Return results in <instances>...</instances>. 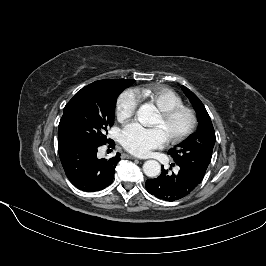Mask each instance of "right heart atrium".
<instances>
[{
  "instance_id": "1",
  "label": "right heart atrium",
  "mask_w": 266,
  "mask_h": 266,
  "mask_svg": "<svg viewBox=\"0 0 266 266\" xmlns=\"http://www.w3.org/2000/svg\"><path fill=\"white\" fill-rule=\"evenodd\" d=\"M141 102L140 93L135 89L124 91L117 101L116 113L119 120L123 121L132 117Z\"/></svg>"
}]
</instances>
